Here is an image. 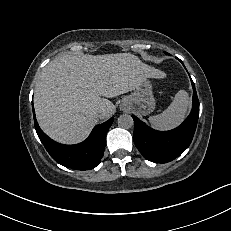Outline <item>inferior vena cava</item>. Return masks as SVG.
Masks as SVG:
<instances>
[{
	"label": "inferior vena cava",
	"instance_id": "inferior-vena-cava-1",
	"mask_svg": "<svg viewBox=\"0 0 231 231\" xmlns=\"http://www.w3.org/2000/svg\"><path fill=\"white\" fill-rule=\"evenodd\" d=\"M97 113H98L99 115H101V114L103 113V110H102V109H99V110L97 111Z\"/></svg>",
	"mask_w": 231,
	"mask_h": 231
}]
</instances>
